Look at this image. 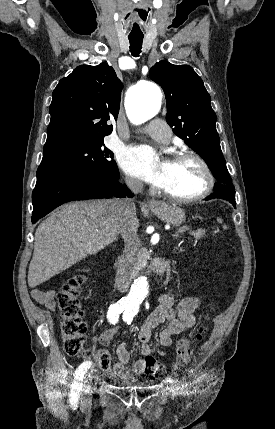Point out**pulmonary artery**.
I'll return each instance as SVG.
<instances>
[{
    "label": "pulmonary artery",
    "instance_id": "1",
    "mask_svg": "<svg viewBox=\"0 0 275 429\" xmlns=\"http://www.w3.org/2000/svg\"><path fill=\"white\" fill-rule=\"evenodd\" d=\"M142 131L161 143H167L171 138V131L161 121L151 122Z\"/></svg>",
    "mask_w": 275,
    "mask_h": 429
}]
</instances>
